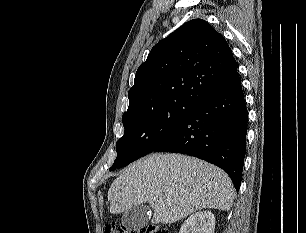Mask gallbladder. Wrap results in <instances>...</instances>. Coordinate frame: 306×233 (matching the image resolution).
<instances>
[{"label": "gallbladder", "mask_w": 306, "mask_h": 233, "mask_svg": "<svg viewBox=\"0 0 306 233\" xmlns=\"http://www.w3.org/2000/svg\"><path fill=\"white\" fill-rule=\"evenodd\" d=\"M149 208L143 204L133 206L122 215L121 221L129 231L143 228L149 221Z\"/></svg>", "instance_id": "1"}]
</instances>
